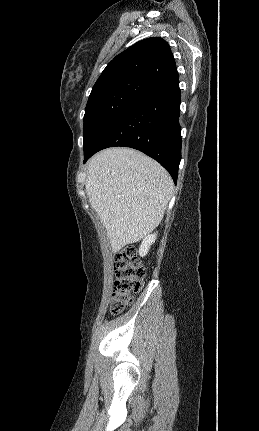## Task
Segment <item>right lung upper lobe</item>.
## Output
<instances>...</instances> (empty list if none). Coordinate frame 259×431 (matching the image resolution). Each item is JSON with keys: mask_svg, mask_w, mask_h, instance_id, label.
<instances>
[{"mask_svg": "<svg viewBox=\"0 0 259 431\" xmlns=\"http://www.w3.org/2000/svg\"><path fill=\"white\" fill-rule=\"evenodd\" d=\"M178 78L168 43L160 37L141 40L117 55L103 70L91 94L139 81L150 89Z\"/></svg>", "mask_w": 259, "mask_h": 431, "instance_id": "right-lung-upper-lobe-1", "label": "right lung upper lobe"}]
</instances>
